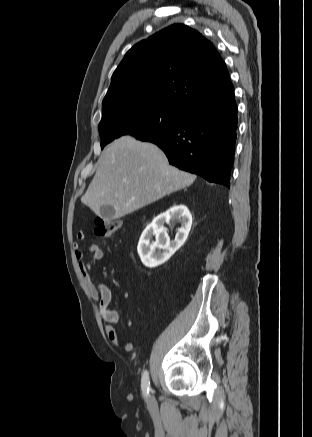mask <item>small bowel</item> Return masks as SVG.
<instances>
[{"instance_id":"obj_1","label":"small bowel","mask_w":312,"mask_h":437,"mask_svg":"<svg viewBox=\"0 0 312 437\" xmlns=\"http://www.w3.org/2000/svg\"><path fill=\"white\" fill-rule=\"evenodd\" d=\"M85 239V233L79 231L77 233L78 242L74 244V252L75 257L78 260L79 270L91 297L94 301L98 302L103 320L108 324L105 327V333L108 339L114 345L122 347L127 352H131L134 349V344L130 341H122L115 328L112 326V324H117L120 321V316L116 310L110 309L109 307L111 302L110 289L104 283L95 281L91 274L93 264L103 259L105 251L98 244H91L88 247H85Z\"/></svg>"}]
</instances>
